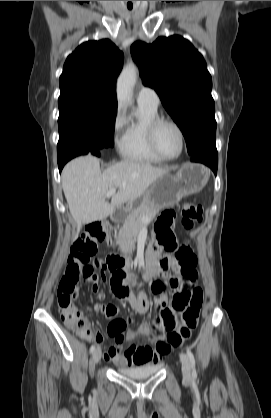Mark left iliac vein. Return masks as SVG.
Returning <instances> with one entry per match:
<instances>
[{
	"instance_id": "left-iliac-vein-1",
	"label": "left iliac vein",
	"mask_w": 271,
	"mask_h": 418,
	"mask_svg": "<svg viewBox=\"0 0 271 418\" xmlns=\"http://www.w3.org/2000/svg\"><path fill=\"white\" fill-rule=\"evenodd\" d=\"M180 361L182 364V374L183 378L187 381L191 379V362L188 356L184 353L180 354Z\"/></svg>"
}]
</instances>
